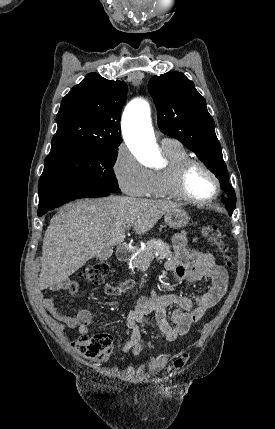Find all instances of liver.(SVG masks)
<instances>
[{
    "instance_id": "6515ba94",
    "label": "liver",
    "mask_w": 275,
    "mask_h": 429,
    "mask_svg": "<svg viewBox=\"0 0 275 429\" xmlns=\"http://www.w3.org/2000/svg\"><path fill=\"white\" fill-rule=\"evenodd\" d=\"M174 202L128 196L78 200L51 219L42 246L41 289H56L104 248L122 243L125 227L136 234L150 231Z\"/></svg>"
}]
</instances>
